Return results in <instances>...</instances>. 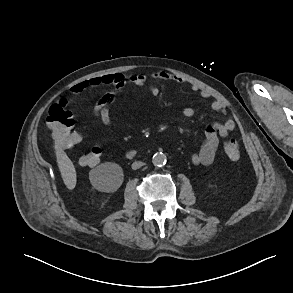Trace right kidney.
Here are the masks:
<instances>
[{"label":"right kidney","instance_id":"1","mask_svg":"<svg viewBox=\"0 0 293 293\" xmlns=\"http://www.w3.org/2000/svg\"><path fill=\"white\" fill-rule=\"evenodd\" d=\"M100 168L103 173V183L99 186V189L106 191L117 190L123 182L122 168L118 164L111 162L102 164Z\"/></svg>","mask_w":293,"mask_h":293}]
</instances>
